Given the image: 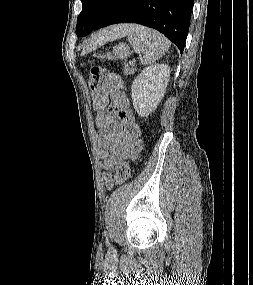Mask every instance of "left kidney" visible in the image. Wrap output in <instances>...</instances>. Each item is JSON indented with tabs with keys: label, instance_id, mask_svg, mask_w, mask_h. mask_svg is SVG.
<instances>
[{
	"label": "left kidney",
	"instance_id": "1",
	"mask_svg": "<svg viewBox=\"0 0 253 285\" xmlns=\"http://www.w3.org/2000/svg\"><path fill=\"white\" fill-rule=\"evenodd\" d=\"M170 67L155 64L145 68L132 84V101L141 117L151 114L162 100L169 82Z\"/></svg>",
	"mask_w": 253,
	"mask_h": 285
}]
</instances>
